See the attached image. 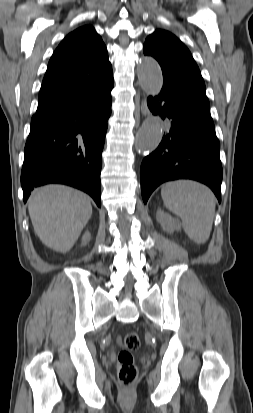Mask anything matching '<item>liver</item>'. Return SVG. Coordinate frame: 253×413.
<instances>
[{"mask_svg":"<svg viewBox=\"0 0 253 413\" xmlns=\"http://www.w3.org/2000/svg\"><path fill=\"white\" fill-rule=\"evenodd\" d=\"M28 211L36 235L56 252H68L92 215L90 199L63 185H47L34 190Z\"/></svg>","mask_w":253,"mask_h":413,"instance_id":"1","label":"liver"}]
</instances>
